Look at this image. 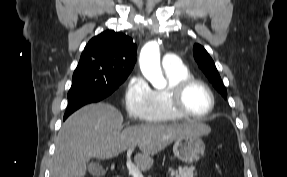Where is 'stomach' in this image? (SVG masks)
Wrapping results in <instances>:
<instances>
[{
  "instance_id": "obj_1",
  "label": "stomach",
  "mask_w": 287,
  "mask_h": 177,
  "mask_svg": "<svg viewBox=\"0 0 287 177\" xmlns=\"http://www.w3.org/2000/svg\"><path fill=\"white\" fill-rule=\"evenodd\" d=\"M174 155L182 162H197L205 152V144L200 135H185L177 140L173 146Z\"/></svg>"
}]
</instances>
